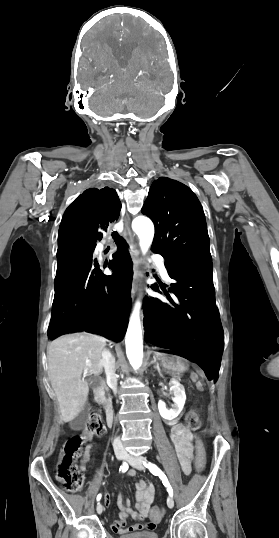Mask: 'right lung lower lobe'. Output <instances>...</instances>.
I'll return each mask as SVG.
<instances>
[{"instance_id": "98d812e1", "label": "right lung lower lobe", "mask_w": 279, "mask_h": 538, "mask_svg": "<svg viewBox=\"0 0 279 538\" xmlns=\"http://www.w3.org/2000/svg\"><path fill=\"white\" fill-rule=\"evenodd\" d=\"M120 210L116 191L105 187L87 189L65 211L58 231L50 339L79 331L104 333L112 339L124 337L133 267L117 232H112L117 251L108 265L113 274H103L97 261L92 262L96 242L109 233L108 226Z\"/></svg>"}]
</instances>
